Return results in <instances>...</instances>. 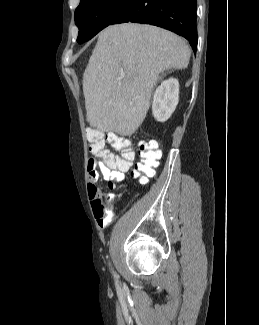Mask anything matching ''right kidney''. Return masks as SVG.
Listing matches in <instances>:
<instances>
[{
	"instance_id": "obj_1",
	"label": "right kidney",
	"mask_w": 259,
	"mask_h": 325,
	"mask_svg": "<svg viewBox=\"0 0 259 325\" xmlns=\"http://www.w3.org/2000/svg\"><path fill=\"white\" fill-rule=\"evenodd\" d=\"M179 101V82L169 78L157 87L152 102V114L159 122L167 121L174 112Z\"/></svg>"
}]
</instances>
